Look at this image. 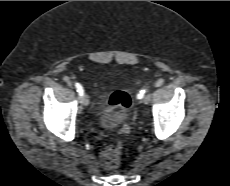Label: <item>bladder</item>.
I'll return each mask as SVG.
<instances>
[{"label":"bladder","mask_w":230,"mask_h":186,"mask_svg":"<svg viewBox=\"0 0 230 186\" xmlns=\"http://www.w3.org/2000/svg\"><path fill=\"white\" fill-rule=\"evenodd\" d=\"M120 123L119 113L113 112L103 116L100 120V126L106 130L116 128Z\"/></svg>","instance_id":"31cf9c89"}]
</instances>
